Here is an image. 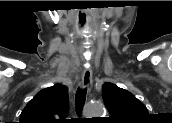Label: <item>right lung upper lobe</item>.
Masks as SVG:
<instances>
[{"label":"right lung upper lobe","mask_w":172,"mask_h":123,"mask_svg":"<svg viewBox=\"0 0 172 123\" xmlns=\"http://www.w3.org/2000/svg\"><path fill=\"white\" fill-rule=\"evenodd\" d=\"M68 114L67 88L56 84L39 91L20 115V123H64Z\"/></svg>","instance_id":"obj_1"}]
</instances>
